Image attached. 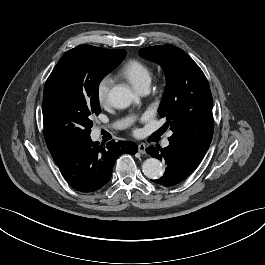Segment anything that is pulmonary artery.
<instances>
[{
	"label": "pulmonary artery",
	"instance_id": "e3ab8cb5",
	"mask_svg": "<svg viewBox=\"0 0 265 265\" xmlns=\"http://www.w3.org/2000/svg\"><path fill=\"white\" fill-rule=\"evenodd\" d=\"M147 91H148V89H143V90H141L140 92H141L142 94H146ZM125 125H126V122H117V123L113 124L112 127H113V128H122V127H124ZM168 145H169V141H168V140H164V141H163V146H164V147H167Z\"/></svg>",
	"mask_w": 265,
	"mask_h": 265
}]
</instances>
